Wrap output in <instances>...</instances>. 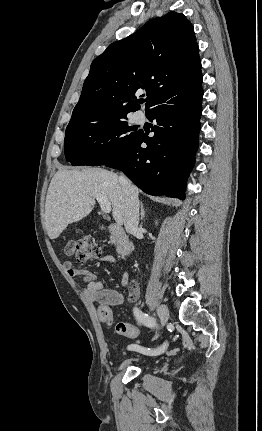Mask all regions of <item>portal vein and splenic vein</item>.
Masks as SVG:
<instances>
[{
    "label": "portal vein and splenic vein",
    "mask_w": 262,
    "mask_h": 431,
    "mask_svg": "<svg viewBox=\"0 0 262 431\" xmlns=\"http://www.w3.org/2000/svg\"><path fill=\"white\" fill-rule=\"evenodd\" d=\"M96 200L100 204L101 210L104 213H110L111 212V203L107 200V198H105L101 195H97Z\"/></svg>",
    "instance_id": "18ae733b"
}]
</instances>
